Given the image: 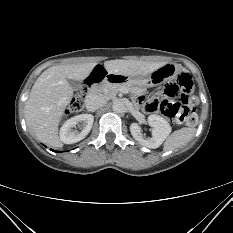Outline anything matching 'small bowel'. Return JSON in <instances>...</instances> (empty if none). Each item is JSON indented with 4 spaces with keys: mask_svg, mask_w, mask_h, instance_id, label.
Returning a JSON list of instances; mask_svg holds the SVG:
<instances>
[{
    "mask_svg": "<svg viewBox=\"0 0 233 233\" xmlns=\"http://www.w3.org/2000/svg\"><path fill=\"white\" fill-rule=\"evenodd\" d=\"M149 99H150V98H148V99L146 100V103L149 101ZM147 112H148V111H147Z\"/></svg>",
    "mask_w": 233,
    "mask_h": 233,
    "instance_id": "c3829d8e",
    "label": "small bowel"
}]
</instances>
